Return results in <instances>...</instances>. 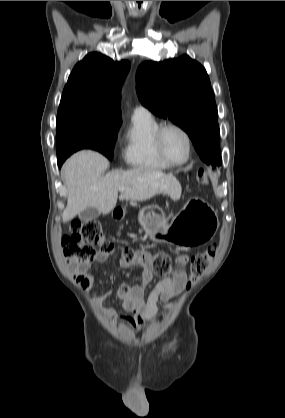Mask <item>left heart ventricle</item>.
Instances as JSON below:
<instances>
[{
  "mask_svg": "<svg viewBox=\"0 0 285 418\" xmlns=\"http://www.w3.org/2000/svg\"><path fill=\"white\" fill-rule=\"evenodd\" d=\"M164 150L173 162H181L187 154V142L184 136L175 129L167 130L162 139Z\"/></svg>",
  "mask_w": 285,
  "mask_h": 418,
  "instance_id": "obj_1",
  "label": "left heart ventricle"
}]
</instances>
